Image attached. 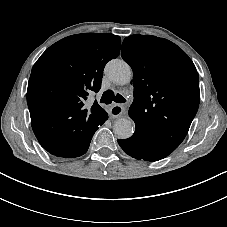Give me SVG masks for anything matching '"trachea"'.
<instances>
[{
	"label": "trachea",
	"mask_w": 227,
	"mask_h": 227,
	"mask_svg": "<svg viewBox=\"0 0 227 227\" xmlns=\"http://www.w3.org/2000/svg\"><path fill=\"white\" fill-rule=\"evenodd\" d=\"M112 101L116 103H125L127 100L121 94H114L113 91L107 90L103 93L100 103H105L106 105L111 104Z\"/></svg>",
	"instance_id": "trachea-1"
}]
</instances>
